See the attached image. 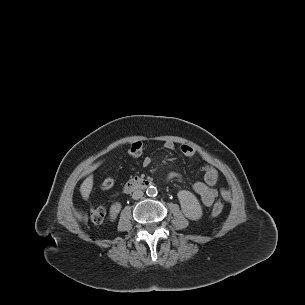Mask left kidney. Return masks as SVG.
<instances>
[{"mask_svg": "<svg viewBox=\"0 0 305 305\" xmlns=\"http://www.w3.org/2000/svg\"><path fill=\"white\" fill-rule=\"evenodd\" d=\"M182 212L190 220H198L202 217V206L196 196L187 190H180L177 193Z\"/></svg>", "mask_w": 305, "mask_h": 305, "instance_id": "5707ae66", "label": "left kidney"}]
</instances>
